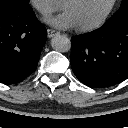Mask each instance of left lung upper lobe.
I'll return each mask as SVG.
<instances>
[{
  "label": "left lung upper lobe",
  "instance_id": "obj_1",
  "mask_svg": "<svg viewBox=\"0 0 128 128\" xmlns=\"http://www.w3.org/2000/svg\"><path fill=\"white\" fill-rule=\"evenodd\" d=\"M124 14H128V0H122L120 8L110 19H115Z\"/></svg>",
  "mask_w": 128,
  "mask_h": 128
}]
</instances>
